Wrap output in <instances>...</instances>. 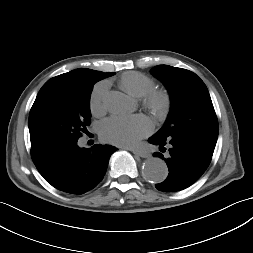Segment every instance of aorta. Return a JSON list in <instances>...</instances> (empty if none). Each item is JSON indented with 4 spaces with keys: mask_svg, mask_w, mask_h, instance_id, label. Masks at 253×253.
Here are the masks:
<instances>
[{
    "mask_svg": "<svg viewBox=\"0 0 253 253\" xmlns=\"http://www.w3.org/2000/svg\"><path fill=\"white\" fill-rule=\"evenodd\" d=\"M104 103L109 110L115 113H124L131 107L129 97L119 91L109 92ZM142 174L151 183H161L168 175V168L162 159L151 157L143 163Z\"/></svg>",
    "mask_w": 253,
    "mask_h": 253,
    "instance_id": "aorta-1",
    "label": "aorta"
}]
</instances>
